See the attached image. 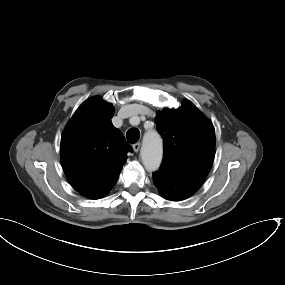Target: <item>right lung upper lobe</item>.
Masks as SVG:
<instances>
[{
	"label": "right lung upper lobe",
	"instance_id": "obj_1",
	"mask_svg": "<svg viewBox=\"0 0 285 285\" xmlns=\"http://www.w3.org/2000/svg\"><path fill=\"white\" fill-rule=\"evenodd\" d=\"M115 110L99 97L86 100L61 136V163L72 187L85 197H104L132 152L111 122Z\"/></svg>",
	"mask_w": 285,
	"mask_h": 285
}]
</instances>
